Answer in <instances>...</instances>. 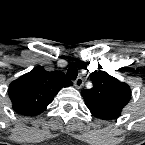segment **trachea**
<instances>
[{
	"mask_svg": "<svg viewBox=\"0 0 145 145\" xmlns=\"http://www.w3.org/2000/svg\"><path fill=\"white\" fill-rule=\"evenodd\" d=\"M78 76V70L75 66H71L68 70H67V78L70 80H75Z\"/></svg>",
	"mask_w": 145,
	"mask_h": 145,
	"instance_id": "obj_1",
	"label": "trachea"
}]
</instances>
